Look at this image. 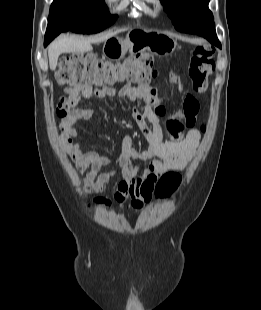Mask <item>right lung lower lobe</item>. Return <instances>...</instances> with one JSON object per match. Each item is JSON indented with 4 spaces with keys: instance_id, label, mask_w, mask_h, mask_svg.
Returning <instances> with one entry per match:
<instances>
[{
    "instance_id": "obj_1",
    "label": "right lung lower lobe",
    "mask_w": 261,
    "mask_h": 310,
    "mask_svg": "<svg viewBox=\"0 0 261 310\" xmlns=\"http://www.w3.org/2000/svg\"><path fill=\"white\" fill-rule=\"evenodd\" d=\"M60 32L61 30H56L51 33H46L45 34V40H44V46H46L51 40H53Z\"/></svg>"
}]
</instances>
